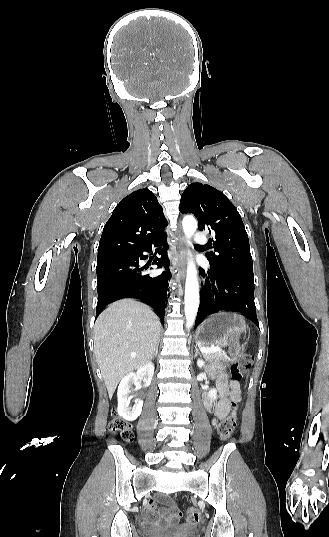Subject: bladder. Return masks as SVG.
<instances>
[{"label":"bladder","instance_id":"bladder-1","mask_svg":"<svg viewBox=\"0 0 329 537\" xmlns=\"http://www.w3.org/2000/svg\"><path fill=\"white\" fill-rule=\"evenodd\" d=\"M188 531H192V528H187Z\"/></svg>","mask_w":329,"mask_h":537}]
</instances>
